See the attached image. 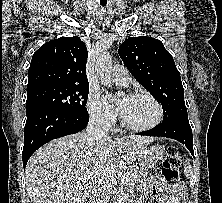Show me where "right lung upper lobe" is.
<instances>
[{"mask_svg": "<svg viewBox=\"0 0 222 203\" xmlns=\"http://www.w3.org/2000/svg\"><path fill=\"white\" fill-rule=\"evenodd\" d=\"M86 45L77 36L61 37L43 44L28 71L27 91L56 85H88Z\"/></svg>", "mask_w": 222, "mask_h": 203, "instance_id": "right-lung-upper-lobe-1", "label": "right lung upper lobe"}]
</instances>
